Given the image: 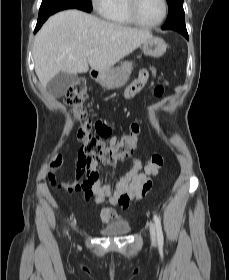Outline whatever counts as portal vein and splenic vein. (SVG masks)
I'll use <instances>...</instances> for the list:
<instances>
[{"instance_id":"obj_1","label":"portal vein and splenic vein","mask_w":229,"mask_h":280,"mask_svg":"<svg viewBox=\"0 0 229 280\" xmlns=\"http://www.w3.org/2000/svg\"><path fill=\"white\" fill-rule=\"evenodd\" d=\"M96 51H97V50H95V49L90 50V51H87V52H86V56L88 57V56L92 55L93 53H95Z\"/></svg>"}]
</instances>
